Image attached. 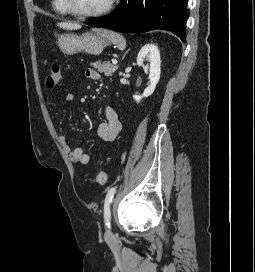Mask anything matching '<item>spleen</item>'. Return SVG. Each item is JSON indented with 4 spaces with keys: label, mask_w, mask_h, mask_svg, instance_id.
I'll return each instance as SVG.
<instances>
[{
    "label": "spleen",
    "mask_w": 255,
    "mask_h": 272,
    "mask_svg": "<svg viewBox=\"0 0 255 272\" xmlns=\"http://www.w3.org/2000/svg\"><path fill=\"white\" fill-rule=\"evenodd\" d=\"M97 33H100L102 36L107 38L110 42L116 45L119 49H124L126 47V41L124 37L110 30H96Z\"/></svg>",
    "instance_id": "spleen-1"
}]
</instances>
